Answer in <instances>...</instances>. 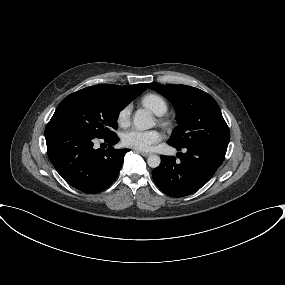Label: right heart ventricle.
Returning a JSON list of instances; mask_svg holds the SVG:
<instances>
[{"label": "right heart ventricle", "instance_id": "right-heart-ventricle-1", "mask_svg": "<svg viewBox=\"0 0 285 285\" xmlns=\"http://www.w3.org/2000/svg\"><path fill=\"white\" fill-rule=\"evenodd\" d=\"M142 104L150 109L157 115H163L168 110V103L166 99L156 93H149L143 96L141 100Z\"/></svg>", "mask_w": 285, "mask_h": 285}]
</instances>
